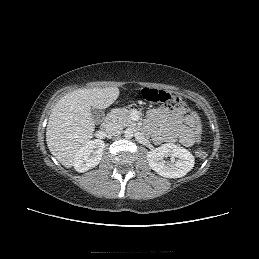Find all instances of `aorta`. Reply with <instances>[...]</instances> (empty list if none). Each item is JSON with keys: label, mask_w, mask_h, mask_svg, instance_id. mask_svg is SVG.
Segmentation results:
<instances>
[{"label": "aorta", "mask_w": 259, "mask_h": 259, "mask_svg": "<svg viewBox=\"0 0 259 259\" xmlns=\"http://www.w3.org/2000/svg\"><path fill=\"white\" fill-rule=\"evenodd\" d=\"M124 136L125 138L127 139H130L134 136V132L131 128H127L125 131H124Z\"/></svg>", "instance_id": "obj_1"}]
</instances>
